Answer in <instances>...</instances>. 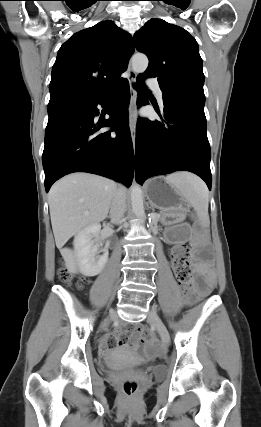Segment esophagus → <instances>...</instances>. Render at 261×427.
<instances>
[{"label":"esophagus","mask_w":261,"mask_h":427,"mask_svg":"<svg viewBox=\"0 0 261 427\" xmlns=\"http://www.w3.org/2000/svg\"><path fill=\"white\" fill-rule=\"evenodd\" d=\"M128 72H129V82L131 89V100H130V133L131 139L133 143V149L135 150V140H136V122H135V104H136V91L133 88V84L136 81L137 73L133 70L131 60L128 64Z\"/></svg>","instance_id":"34e87169"}]
</instances>
